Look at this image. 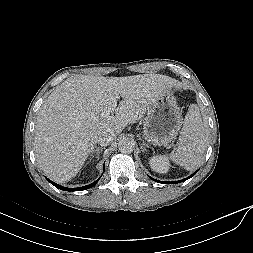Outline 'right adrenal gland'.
<instances>
[{"mask_svg": "<svg viewBox=\"0 0 253 253\" xmlns=\"http://www.w3.org/2000/svg\"><path fill=\"white\" fill-rule=\"evenodd\" d=\"M103 146H101V147H95V148H93L92 149V151H91V156L94 154V153H96L97 154V159H99V154L101 153V151L103 150Z\"/></svg>", "mask_w": 253, "mask_h": 253, "instance_id": "2a0ac1e0", "label": "right adrenal gland"}]
</instances>
